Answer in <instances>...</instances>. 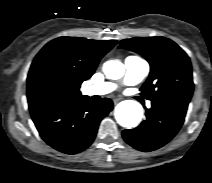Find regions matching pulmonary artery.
<instances>
[{"instance_id": "1", "label": "pulmonary artery", "mask_w": 212, "mask_h": 183, "mask_svg": "<svg viewBox=\"0 0 212 183\" xmlns=\"http://www.w3.org/2000/svg\"><path fill=\"white\" fill-rule=\"evenodd\" d=\"M124 68L123 83L125 85L139 84L148 75L150 70L148 62L138 56L127 57L124 62ZM116 87L117 85L112 82H104L87 87L85 93L90 96L105 95L115 90Z\"/></svg>"}]
</instances>
